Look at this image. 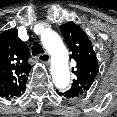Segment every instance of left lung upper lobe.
<instances>
[{
    "mask_svg": "<svg viewBox=\"0 0 117 117\" xmlns=\"http://www.w3.org/2000/svg\"><path fill=\"white\" fill-rule=\"evenodd\" d=\"M60 30L72 52L70 58L77 64L72 68L75 78L71 88L65 91L66 97H80L89 90L99 70L96 54L86 33L74 22L61 25Z\"/></svg>",
    "mask_w": 117,
    "mask_h": 117,
    "instance_id": "left-lung-upper-lobe-1",
    "label": "left lung upper lobe"
}]
</instances>
